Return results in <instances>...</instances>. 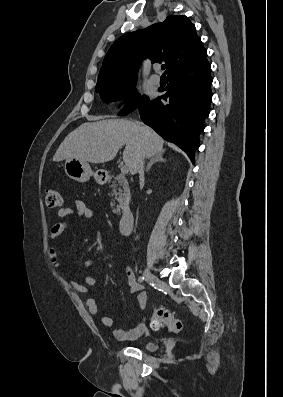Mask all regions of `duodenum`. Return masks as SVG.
Wrapping results in <instances>:
<instances>
[{
	"mask_svg": "<svg viewBox=\"0 0 283 397\" xmlns=\"http://www.w3.org/2000/svg\"><path fill=\"white\" fill-rule=\"evenodd\" d=\"M134 224V215L131 210H124L119 218L118 228L121 234L131 233Z\"/></svg>",
	"mask_w": 283,
	"mask_h": 397,
	"instance_id": "obj_1",
	"label": "duodenum"
}]
</instances>
